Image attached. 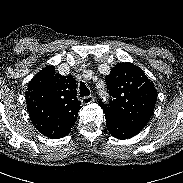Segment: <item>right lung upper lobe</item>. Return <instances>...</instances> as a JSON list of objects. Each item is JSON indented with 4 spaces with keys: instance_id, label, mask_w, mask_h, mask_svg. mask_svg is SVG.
<instances>
[{
    "instance_id": "1",
    "label": "right lung upper lobe",
    "mask_w": 183,
    "mask_h": 183,
    "mask_svg": "<svg viewBox=\"0 0 183 183\" xmlns=\"http://www.w3.org/2000/svg\"><path fill=\"white\" fill-rule=\"evenodd\" d=\"M76 81L55 74L47 66L29 82L26 103L33 125L50 138H62L75 124L81 102L77 99Z\"/></svg>"
}]
</instances>
